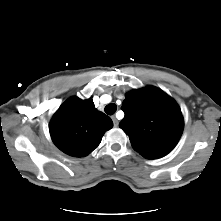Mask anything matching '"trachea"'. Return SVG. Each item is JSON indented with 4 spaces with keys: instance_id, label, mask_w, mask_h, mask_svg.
Returning <instances> with one entry per match:
<instances>
[{
    "instance_id": "obj_1",
    "label": "trachea",
    "mask_w": 221,
    "mask_h": 221,
    "mask_svg": "<svg viewBox=\"0 0 221 221\" xmlns=\"http://www.w3.org/2000/svg\"><path fill=\"white\" fill-rule=\"evenodd\" d=\"M105 113L106 114H108V115H113L115 112H116V110H117V106H116V104H114V103H110V104H108L106 107H105Z\"/></svg>"
}]
</instances>
